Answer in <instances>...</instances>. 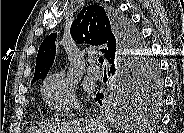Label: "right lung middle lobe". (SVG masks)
I'll return each instance as SVG.
<instances>
[{
	"label": "right lung middle lobe",
	"mask_w": 184,
	"mask_h": 133,
	"mask_svg": "<svg viewBox=\"0 0 184 133\" xmlns=\"http://www.w3.org/2000/svg\"><path fill=\"white\" fill-rule=\"evenodd\" d=\"M123 19L139 48L134 50V59L132 61L135 63L133 71L127 80L124 95L118 99L119 105L117 104V107L134 111L146 107L152 100L155 103L156 97L152 96V93L154 94L155 91L160 90L161 81L159 79L158 65L151 59L148 50L141 41L140 34L128 19L124 17ZM146 53H148V56ZM34 82L32 81V83Z\"/></svg>",
	"instance_id": "dd1d6c3e"
}]
</instances>
